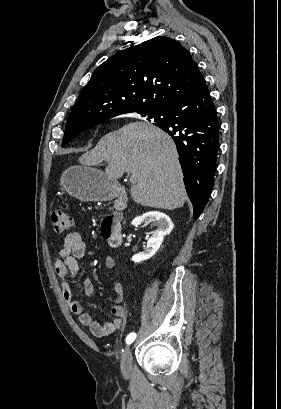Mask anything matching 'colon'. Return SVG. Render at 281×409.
Listing matches in <instances>:
<instances>
[{
  "instance_id": "1",
  "label": "colon",
  "mask_w": 281,
  "mask_h": 409,
  "mask_svg": "<svg viewBox=\"0 0 281 409\" xmlns=\"http://www.w3.org/2000/svg\"><path fill=\"white\" fill-rule=\"evenodd\" d=\"M51 217L55 227V231L58 234H64L68 232L73 225L71 215L67 211H64L62 209L53 210Z\"/></svg>"
}]
</instances>
